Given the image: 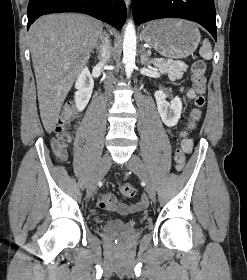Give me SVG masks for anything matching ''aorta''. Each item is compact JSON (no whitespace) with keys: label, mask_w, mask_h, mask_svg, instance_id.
I'll list each match as a JSON object with an SVG mask.
<instances>
[{"label":"aorta","mask_w":247,"mask_h":280,"mask_svg":"<svg viewBox=\"0 0 247 280\" xmlns=\"http://www.w3.org/2000/svg\"><path fill=\"white\" fill-rule=\"evenodd\" d=\"M136 56V31L132 21H129L124 31L123 39V63L125 64V72L129 78L135 67Z\"/></svg>","instance_id":"762f6f07"}]
</instances>
